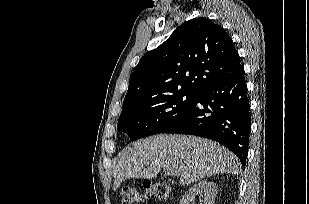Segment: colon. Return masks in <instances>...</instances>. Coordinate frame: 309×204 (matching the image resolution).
Returning a JSON list of instances; mask_svg holds the SVG:
<instances>
[{"label": "colon", "mask_w": 309, "mask_h": 204, "mask_svg": "<svg viewBox=\"0 0 309 204\" xmlns=\"http://www.w3.org/2000/svg\"><path fill=\"white\" fill-rule=\"evenodd\" d=\"M170 192V186L166 182L150 183L143 185L142 191L135 187H124L121 190L122 204H138L144 198H167Z\"/></svg>", "instance_id": "1"}]
</instances>
